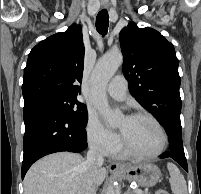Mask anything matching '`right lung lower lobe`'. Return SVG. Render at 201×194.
Instances as JSON below:
<instances>
[{"instance_id": "right-lung-lower-lobe-1", "label": "right lung lower lobe", "mask_w": 201, "mask_h": 194, "mask_svg": "<svg viewBox=\"0 0 201 194\" xmlns=\"http://www.w3.org/2000/svg\"><path fill=\"white\" fill-rule=\"evenodd\" d=\"M22 179L41 157L61 151L81 152L87 147L85 128L60 109L37 101L24 103Z\"/></svg>"}]
</instances>
